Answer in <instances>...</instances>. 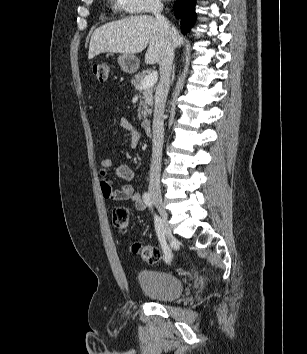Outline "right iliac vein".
<instances>
[{
    "label": "right iliac vein",
    "instance_id": "obj_1",
    "mask_svg": "<svg viewBox=\"0 0 307 354\" xmlns=\"http://www.w3.org/2000/svg\"><path fill=\"white\" fill-rule=\"evenodd\" d=\"M152 199H153L154 205L157 207V209L160 213L161 220L164 225V233L169 240H172L173 236H172L171 229H170V226L168 223V215H167V212L164 208L162 198L156 194H153Z\"/></svg>",
    "mask_w": 307,
    "mask_h": 354
}]
</instances>
